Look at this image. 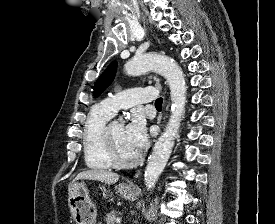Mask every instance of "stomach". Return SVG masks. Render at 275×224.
Returning <instances> with one entry per match:
<instances>
[{
    "label": "stomach",
    "instance_id": "1",
    "mask_svg": "<svg viewBox=\"0 0 275 224\" xmlns=\"http://www.w3.org/2000/svg\"><path fill=\"white\" fill-rule=\"evenodd\" d=\"M121 197L133 201L137 197L135 187L121 183L115 187ZM68 205L76 224H96L97 209L89 197V191L84 182H73L70 186Z\"/></svg>",
    "mask_w": 275,
    "mask_h": 224
}]
</instances>
